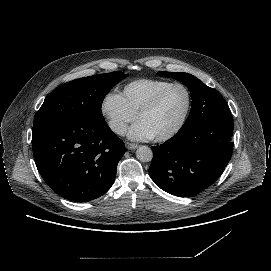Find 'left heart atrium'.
<instances>
[{
	"label": "left heart atrium",
	"instance_id": "obj_1",
	"mask_svg": "<svg viewBox=\"0 0 271 271\" xmlns=\"http://www.w3.org/2000/svg\"><path fill=\"white\" fill-rule=\"evenodd\" d=\"M128 136L132 141L136 142L147 141L153 138L146 125L141 121L136 122L130 128Z\"/></svg>",
	"mask_w": 271,
	"mask_h": 271
}]
</instances>
